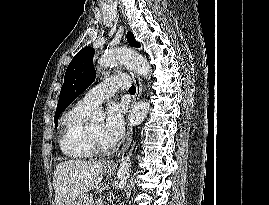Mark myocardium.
<instances>
[{"mask_svg": "<svg viewBox=\"0 0 269 205\" xmlns=\"http://www.w3.org/2000/svg\"><path fill=\"white\" fill-rule=\"evenodd\" d=\"M86 138L88 145L92 151V153L97 155H107L112 153L115 150L114 146H104L102 145L98 139L89 131V129H86Z\"/></svg>", "mask_w": 269, "mask_h": 205, "instance_id": "myocardium-1", "label": "myocardium"}]
</instances>
